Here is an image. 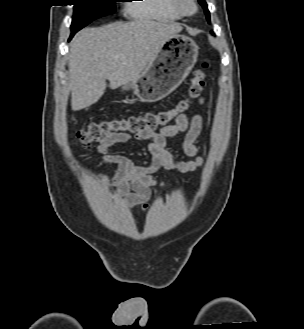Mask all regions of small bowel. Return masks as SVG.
Masks as SVG:
<instances>
[{
	"label": "small bowel",
	"mask_w": 304,
	"mask_h": 329,
	"mask_svg": "<svg viewBox=\"0 0 304 329\" xmlns=\"http://www.w3.org/2000/svg\"><path fill=\"white\" fill-rule=\"evenodd\" d=\"M200 98L199 102L203 103ZM203 119L201 115L189 116L181 114L168 126L161 128L150 136L130 134H116L103 139L98 147L99 163H113L117 165V171L111 178H103V181L117 188L118 196L128 207L141 206L143 210L149 208L151 197L158 195V187H165L167 183H159L153 178V173L160 168L174 170L181 173H190L199 168L203 158L197 155L196 140L201 134ZM185 133L182 143L184 153L191 160H176L169 152L167 138ZM132 139L147 143L151 154V162L147 165L135 164L130 158L122 154H109L110 147L127 143Z\"/></svg>",
	"instance_id": "c3829d8e"
}]
</instances>
